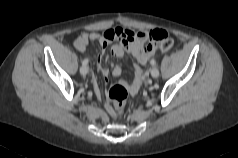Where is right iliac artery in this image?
<instances>
[{
  "label": "right iliac artery",
  "instance_id": "82829eb1",
  "mask_svg": "<svg viewBox=\"0 0 238 158\" xmlns=\"http://www.w3.org/2000/svg\"><path fill=\"white\" fill-rule=\"evenodd\" d=\"M87 63H88V59H84L82 62V65H87Z\"/></svg>",
  "mask_w": 238,
  "mask_h": 158
}]
</instances>
